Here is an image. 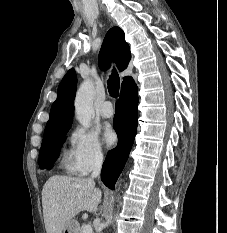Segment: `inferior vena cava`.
Segmentation results:
<instances>
[{
    "instance_id": "inferior-vena-cava-1",
    "label": "inferior vena cava",
    "mask_w": 227,
    "mask_h": 233,
    "mask_svg": "<svg viewBox=\"0 0 227 233\" xmlns=\"http://www.w3.org/2000/svg\"><path fill=\"white\" fill-rule=\"evenodd\" d=\"M102 162H103V155L97 154L94 158V162L92 166V174H91L92 179L99 176L101 168H102Z\"/></svg>"
}]
</instances>
